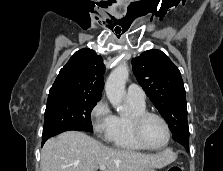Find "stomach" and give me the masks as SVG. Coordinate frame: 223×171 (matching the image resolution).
I'll return each mask as SVG.
<instances>
[{
  "mask_svg": "<svg viewBox=\"0 0 223 171\" xmlns=\"http://www.w3.org/2000/svg\"><path fill=\"white\" fill-rule=\"evenodd\" d=\"M144 171H156V170L154 168H148V169H146Z\"/></svg>",
  "mask_w": 223,
  "mask_h": 171,
  "instance_id": "obj_1",
  "label": "stomach"
}]
</instances>
